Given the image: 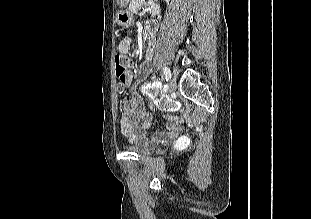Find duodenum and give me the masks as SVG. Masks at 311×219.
<instances>
[{
  "instance_id": "duodenum-1",
  "label": "duodenum",
  "mask_w": 311,
  "mask_h": 219,
  "mask_svg": "<svg viewBox=\"0 0 311 219\" xmlns=\"http://www.w3.org/2000/svg\"><path fill=\"white\" fill-rule=\"evenodd\" d=\"M155 29H156V25H155L154 23H150V24L148 25V31H149L150 33H153V32L155 31Z\"/></svg>"
}]
</instances>
